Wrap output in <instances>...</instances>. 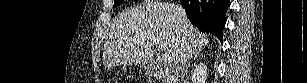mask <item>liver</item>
Wrapping results in <instances>:
<instances>
[{"label":"liver","instance_id":"6515ba94","mask_svg":"<svg viewBox=\"0 0 307 83\" xmlns=\"http://www.w3.org/2000/svg\"><path fill=\"white\" fill-rule=\"evenodd\" d=\"M181 25L182 19L173 4L148 3L121 13L107 32L103 53L105 68L148 63L158 48L155 39L163 44L164 54H169L177 63L183 34ZM184 31L192 48H203L209 42L207 35L188 20Z\"/></svg>","mask_w":307,"mask_h":83}]
</instances>
